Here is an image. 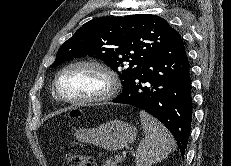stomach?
Returning a JSON list of instances; mask_svg holds the SVG:
<instances>
[{
    "instance_id": "1",
    "label": "stomach",
    "mask_w": 231,
    "mask_h": 166,
    "mask_svg": "<svg viewBox=\"0 0 231 166\" xmlns=\"http://www.w3.org/2000/svg\"><path fill=\"white\" fill-rule=\"evenodd\" d=\"M137 128L131 124L112 120L96 128H79L74 136L77 140L90 143L108 151H117L135 141Z\"/></svg>"
}]
</instances>
